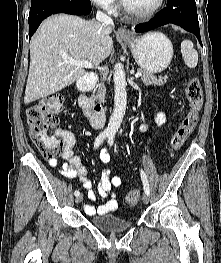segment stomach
Returning <instances> with one entry per match:
<instances>
[{"label":"stomach","instance_id":"obj_1","mask_svg":"<svg viewBox=\"0 0 221 263\" xmlns=\"http://www.w3.org/2000/svg\"><path fill=\"white\" fill-rule=\"evenodd\" d=\"M121 41L128 45L138 66L151 74L164 71L173 57L171 41L160 32H150Z\"/></svg>","mask_w":221,"mask_h":263}]
</instances>
